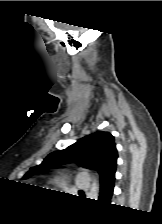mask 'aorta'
Wrapping results in <instances>:
<instances>
[{
    "instance_id": "1",
    "label": "aorta",
    "mask_w": 162,
    "mask_h": 224,
    "mask_svg": "<svg viewBox=\"0 0 162 224\" xmlns=\"http://www.w3.org/2000/svg\"><path fill=\"white\" fill-rule=\"evenodd\" d=\"M99 181L97 179H95L91 185L90 191L88 193V196L90 199H95L97 200L98 196H99Z\"/></svg>"
}]
</instances>
